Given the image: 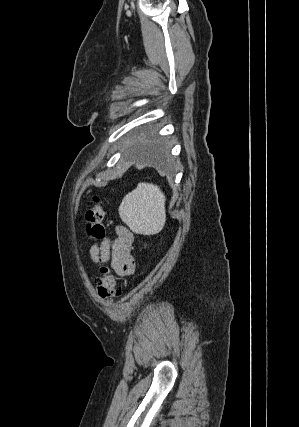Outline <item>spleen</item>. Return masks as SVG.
I'll return each instance as SVG.
<instances>
[{"instance_id": "1", "label": "spleen", "mask_w": 299, "mask_h": 427, "mask_svg": "<svg viewBox=\"0 0 299 427\" xmlns=\"http://www.w3.org/2000/svg\"><path fill=\"white\" fill-rule=\"evenodd\" d=\"M165 195L157 185L139 183L119 206L122 221L136 234L155 235L166 222Z\"/></svg>"}]
</instances>
